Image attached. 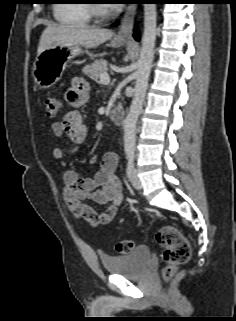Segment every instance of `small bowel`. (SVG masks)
I'll list each match as a JSON object with an SVG mask.
<instances>
[{
    "label": "small bowel",
    "instance_id": "c3829d8e",
    "mask_svg": "<svg viewBox=\"0 0 236 321\" xmlns=\"http://www.w3.org/2000/svg\"><path fill=\"white\" fill-rule=\"evenodd\" d=\"M70 109L62 120L53 122L52 132L57 137H67L71 146L54 150L55 159L64 166L62 158L73 154L88 134V126L83 122L80 109L89 100V89L83 80L75 79L65 94ZM118 167V155L114 150L104 154L102 165L91 178H83L79 171L65 169L63 173L62 194L68 208L74 216L91 225L109 224L122 204L124 194L122 185L115 172ZM90 199L98 205H107L104 211L89 206L85 200Z\"/></svg>",
    "mask_w": 236,
    "mask_h": 321
}]
</instances>
